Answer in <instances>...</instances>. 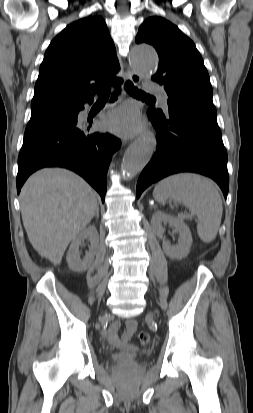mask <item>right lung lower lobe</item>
<instances>
[{
  "label": "right lung lower lobe",
  "instance_id": "1",
  "mask_svg": "<svg viewBox=\"0 0 253 413\" xmlns=\"http://www.w3.org/2000/svg\"><path fill=\"white\" fill-rule=\"evenodd\" d=\"M122 79L112 83L119 92ZM114 94L111 102L116 100ZM82 107L78 108V113ZM91 125V124H90ZM121 143L109 133L88 134L86 126L77 124L24 139L18 157L17 193L30 174L43 167H64L82 176L104 201L107 171L112 154Z\"/></svg>",
  "mask_w": 253,
  "mask_h": 413
}]
</instances>
